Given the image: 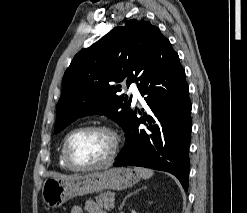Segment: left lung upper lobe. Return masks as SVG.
I'll use <instances>...</instances> for the list:
<instances>
[{
    "label": "left lung upper lobe",
    "instance_id": "5c2ea615",
    "mask_svg": "<svg viewBox=\"0 0 247 213\" xmlns=\"http://www.w3.org/2000/svg\"><path fill=\"white\" fill-rule=\"evenodd\" d=\"M175 52L167 38L150 22L129 20L113 28L89 48L77 53L62 80L55 133L86 115H107L124 130L132 117L131 98L117 93L141 79L153 65ZM138 86V85H137Z\"/></svg>",
    "mask_w": 247,
    "mask_h": 213
}]
</instances>
